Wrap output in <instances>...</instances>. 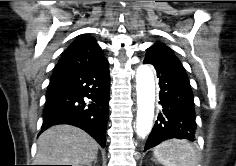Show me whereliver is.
I'll list each match as a JSON object with an SVG mask.
<instances>
[{"label": "liver", "instance_id": "liver-1", "mask_svg": "<svg viewBox=\"0 0 236 166\" xmlns=\"http://www.w3.org/2000/svg\"><path fill=\"white\" fill-rule=\"evenodd\" d=\"M37 144V165H90L98 153L97 142L71 125L47 129L39 136Z\"/></svg>", "mask_w": 236, "mask_h": 166}]
</instances>
